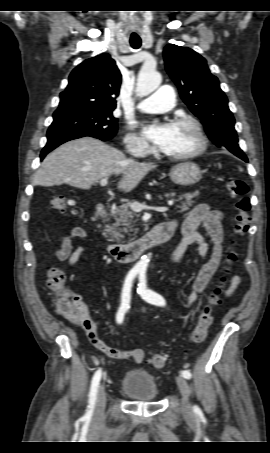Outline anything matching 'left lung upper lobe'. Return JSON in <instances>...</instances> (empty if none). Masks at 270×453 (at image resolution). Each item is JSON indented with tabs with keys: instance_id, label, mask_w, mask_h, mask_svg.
<instances>
[{
	"instance_id": "left-lung-upper-lobe-1",
	"label": "left lung upper lobe",
	"mask_w": 270,
	"mask_h": 453,
	"mask_svg": "<svg viewBox=\"0 0 270 453\" xmlns=\"http://www.w3.org/2000/svg\"><path fill=\"white\" fill-rule=\"evenodd\" d=\"M163 55L166 70L178 86L181 98L202 120L213 143L233 154L243 153L237 144L235 120L228 100L206 60L192 49L174 44L167 45Z\"/></svg>"
}]
</instances>
